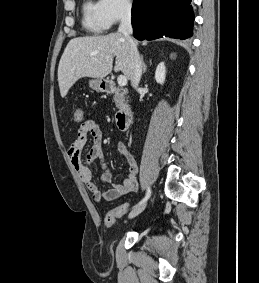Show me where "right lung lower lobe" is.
<instances>
[{"label": "right lung lower lobe", "instance_id": "1", "mask_svg": "<svg viewBox=\"0 0 259 283\" xmlns=\"http://www.w3.org/2000/svg\"><path fill=\"white\" fill-rule=\"evenodd\" d=\"M190 4L191 0H134V37L138 40L191 37L194 14Z\"/></svg>", "mask_w": 259, "mask_h": 283}]
</instances>
